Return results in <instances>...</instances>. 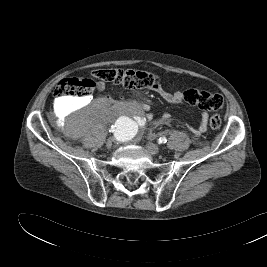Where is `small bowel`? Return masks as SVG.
Segmentation results:
<instances>
[{"label": "small bowel", "mask_w": 267, "mask_h": 267, "mask_svg": "<svg viewBox=\"0 0 267 267\" xmlns=\"http://www.w3.org/2000/svg\"><path fill=\"white\" fill-rule=\"evenodd\" d=\"M105 89V84L103 82H99L97 84V90L102 92ZM153 90L160 95V97L166 101L170 105H182L184 103L183 92L176 91V92H169L164 89L161 85L156 86ZM153 115L150 114L147 116L148 120H151ZM167 116H164L162 119L157 120L154 122L155 125L162 123ZM207 120H208V113L203 111L200 114V124L198 128L195 130L197 134L204 133L207 130Z\"/></svg>", "instance_id": "c3829d8e"}]
</instances>
